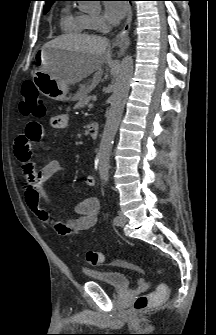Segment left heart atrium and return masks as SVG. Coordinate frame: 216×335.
<instances>
[{"label":"left heart atrium","mask_w":216,"mask_h":335,"mask_svg":"<svg viewBox=\"0 0 216 335\" xmlns=\"http://www.w3.org/2000/svg\"><path fill=\"white\" fill-rule=\"evenodd\" d=\"M128 5L122 1H107L105 4V14L108 20L117 24L128 13Z\"/></svg>","instance_id":"obj_1"}]
</instances>
